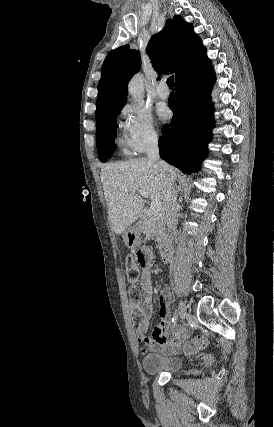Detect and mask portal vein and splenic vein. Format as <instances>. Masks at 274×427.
<instances>
[{
  "label": "portal vein and splenic vein",
  "mask_w": 274,
  "mask_h": 427,
  "mask_svg": "<svg viewBox=\"0 0 274 427\" xmlns=\"http://www.w3.org/2000/svg\"><path fill=\"white\" fill-rule=\"evenodd\" d=\"M138 194L143 196V198H149V194L148 192H145V190H138ZM150 210L151 212H154V214H159V212H162L161 202H151Z\"/></svg>",
  "instance_id": "18ae733b"
}]
</instances>
